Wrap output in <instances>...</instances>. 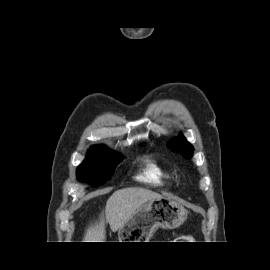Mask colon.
<instances>
[{
    "label": "colon",
    "mask_w": 270,
    "mask_h": 270,
    "mask_svg": "<svg viewBox=\"0 0 270 270\" xmlns=\"http://www.w3.org/2000/svg\"><path fill=\"white\" fill-rule=\"evenodd\" d=\"M186 238H187V237H185V236H181V237H180V239H186Z\"/></svg>",
    "instance_id": "5ec220e1"
}]
</instances>
